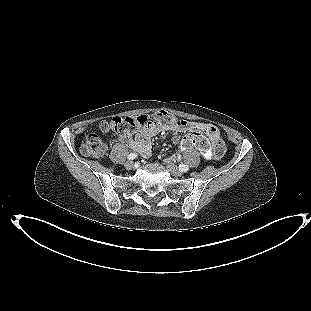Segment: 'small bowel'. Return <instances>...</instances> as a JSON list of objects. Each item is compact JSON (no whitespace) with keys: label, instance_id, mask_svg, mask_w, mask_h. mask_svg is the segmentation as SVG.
<instances>
[{"label":"small bowel","instance_id":"c3829d8e","mask_svg":"<svg viewBox=\"0 0 311 311\" xmlns=\"http://www.w3.org/2000/svg\"><path fill=\"white\" fill-rule=\"evenodd\" d=\"M186 129L203 131L211 140L212 150L210 151V156L217 160L222 157L224 152V143L218 128L210 123L188 122V125L184 128L175 125H153L141 130L134 136L123 135L122 139L126 140L128 145L141 156L148 157L151 154V138L167 131H173L175 133L172 137L174 144H180L184 147H188L184 145V140L182 141L181 137L178 135L179 132Z\"/></svg>","mask_w":311,"mask_h":311}]
</instances>
